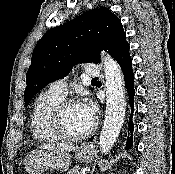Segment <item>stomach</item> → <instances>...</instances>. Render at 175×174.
<instances>
[{
    "label": "stomach",
    "instance_id": "1",
    "mask_svg": "<svg viewBox=\"0 0 175 174\" xmlns=\"http://www.w3.org/2000/svg\"><path fill=\"white\" fill-rule=\"evenodd\" d=\"M72 156L68 152L36 150L24 159V168L29 174H42L46 170L66 171L71 165ZM75 158L89 163L94 158V151L89 145H82L75 151Z\"/></svg>",
    "mask_w": 175,
    "mask_h": 174
}]
</instances>
